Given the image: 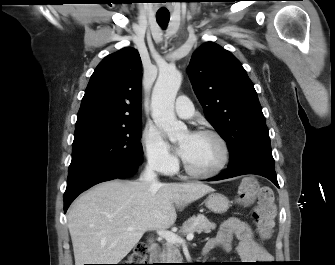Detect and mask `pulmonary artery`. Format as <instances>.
Instances as JSON below:
<instances>
[{
  "label": "pulmonary artery",
  "mask_w": 335,
  "mask_h": 265,
  "mask_svg": "<svg viewBox=\"0 0 335 265\" xmlns=\"http://www.w3.org/2000/svg\"><path fill=\"white\" fill-rule=\"evenodd\" d=\"M175 112L182 118H190L194 114V108L186 96H179L175 103Z\"/></svg>",
  "instance_id": "e3ab8cb5"
}]
</instances>
